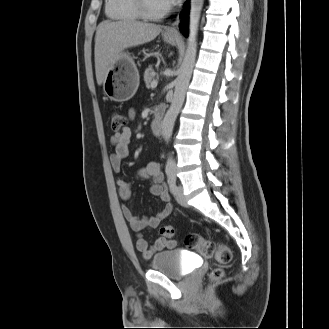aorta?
I'll return each mask as SVG.
<instances>
[{"mask_svg": "<svg viewBox=\"0 0 329 329\" xmlns=\"http://www.w3.org/2000/svg\"><path fill=\"white\" fill-rule=\"evenodd\" d=\"M203 2L204 0H191L190 3L187 49L179 70V75L175 80L173 100L161 124L162 136L166 142H168L172 136L174 124L183 105L185 93L192 75L197 52V32ZM175 170L176 163L172 157H169L166 163V171L174 172Z\"/></svg>", "mask_w": 329, "mask_h": 329, "instance_id": "aorta-1", "label": "aorta"}]
</instances>
